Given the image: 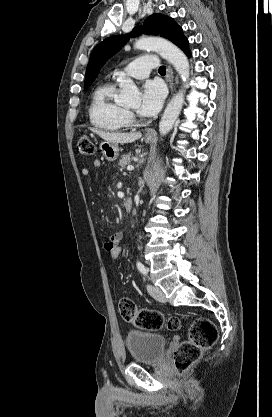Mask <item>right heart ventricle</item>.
<instances>
[{
	"label": "right heart ventricle",
	"instance_id": "e07e8e85",
	"mask_svg": "<svg viewBox=\"0 0 272 417\" xmlns=\"http://www.w3.org/2000/svg\"><path fill=\"white\" fill-rule=\"evenodd\" d=\"M91 123L105 131H119L129 124L128 114L116 99V87L106 82L97 87L89 108Z\"/></svg>",
	"mask_w": 272,
	"mask_h": 417
}]
</instances>
